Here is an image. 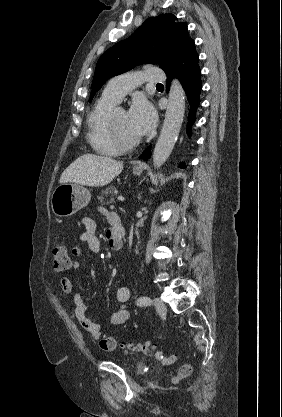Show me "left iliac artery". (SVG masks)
Instances as JSON below:
<instances>
[{
  "mask_svg": "<svg viewBox=\"0 0 282 417\" xmlns=\"http://www.w3.org/2000/svg\"><path fill=\"white\" fill-rule=\"evenodd\" d=\"M150 304H151V299L149 297L144 296V297H140L137 300V305H139V306H148Z\"/></svg>",
  "mask_w": 282,
  "mask_h": 417,
  "instance_id": "left-iliac-artery-1",
  "label": "left iliac artery"
}]
</instances>
